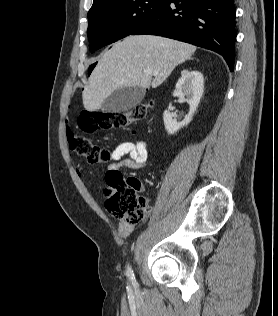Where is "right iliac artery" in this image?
Wrapping results in <instances>:
<instances>
[{
	"mask_svg": "<svg viewBox=\"0 0 278 316\" xmlns=\"http://www.w3.org/2000/svg\"><path fill=\"white\" fill-rule=\"evenodd\" d=\"M126 274H127V276L129 277V279H130L133 283H135V278H134L133 270L131 269L130 266L127 268Z\"/></svg>",
	"mask_w": 278,
	"mask_h": 316,
	"instance_id": "obj_1",
	"label": "right iliac artery"
}]
</instances>
